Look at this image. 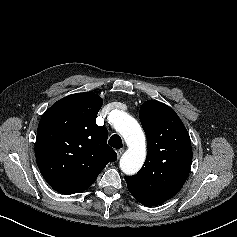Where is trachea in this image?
Listing matches in <instances>:
<instances>
[{"label": "trachea", "mask_w": 237, "mask_h": 237, "mask_svg": "<svg viewBox=\"0 0 237 237\" xmlns=\"http://www.w3.org/2000/svg\"><path fill=\"white\" fill-rule=\"evenodd\" d=\"M108 144L116 149H120L123 146L121 137L116 134H114L110 137Z\"/></svg>", "instance_id": "trachea-1"}]
</instances>
